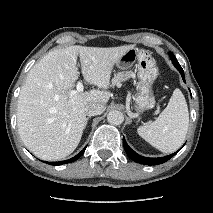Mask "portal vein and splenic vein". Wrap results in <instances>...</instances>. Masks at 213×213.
<instances>
[{
    "mask_svg": "<svg viewBox=\"0 0 213 213\" xmlns=\"http://www.w3.org/2000/svg\"><path fill=\"white\" fill-rule=\"evenodd\" d=\"M83 89H84L83 83L81 81H78L77 85H76V91L75 92H82Z\"/></svg>",
    "mask_w": 213,
    "mask_h": 213,
    "instance_id": "obj_1",
    "label": "portal vein and splenic vein"
}]
</instances>
